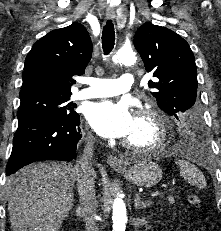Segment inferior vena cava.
Wrapping results in <instances>:
<instances>
[{
	"label": "inferior vena cava",
	"mask_w": 221,
	"mask_h": 231,
	"mask_svg": "<svg viewBox=\"0 0 221 231\" xmlns=\"http://www.w3.org/2000/svg\"><path fill=\"white\" fill-rule=\"evenodd\" d=\"M93 142L90 138L84 149L80 161L76 164V181L79 194V210L84 220L86 231H98L94 219L97 208L95 196V177L96 173L92 168Z\"/></svg>",
	"instance_id": "obj_1"
}]
</instances>
